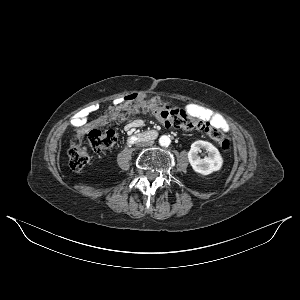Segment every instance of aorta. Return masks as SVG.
Returning a JSON list of instances; mask_svg holds the SVG:
<instances>
[{
	"mask_svg": "<svg viewBox=\"0 0 300 300\" xmlns=\"http://www.w3.org/2000/svg\"><path fill=\"white\" fill-rule=\"evenodd\" d=\"M171 143V139L169 136L167 135H163L159 138V144L163 147H167L169 146Z\"/></svg>",
	"mask_w": 300,
	"mask_h": 300,
	"instance_id": "1",
	"label": "aorta"
}]
</instances>
